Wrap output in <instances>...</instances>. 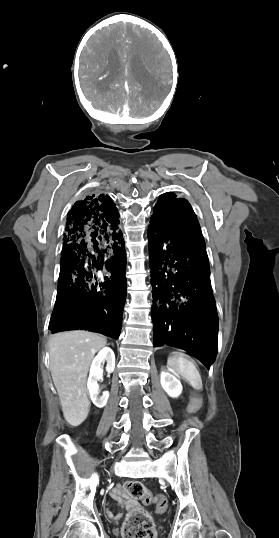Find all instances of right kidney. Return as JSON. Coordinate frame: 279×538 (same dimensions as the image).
Masks as SVG:
<instances>
[{"mask_svg":"<svg viewBox=\"0 0 279 538\" xmlns=\"http://www.w3.org/2000/svg\"><path fill=\"white\" fill-rule=\"evenodd\" d=\"M103 362H107V372H110V374L111 372H114L115 354L111 348H103V350H100L99 354L95 356L90 368L87 388L89 390L90 398L97 408H104L109 398V392H103V396H99L98 382L99 380H102L103 370L101 364H103Z\"/></svg>","mask_w":279,"mask_h":538,"instance_id":"1","label":"right kidney"}]
</instances>
